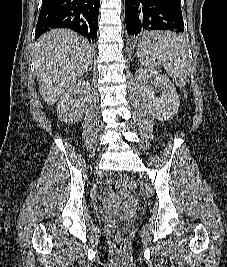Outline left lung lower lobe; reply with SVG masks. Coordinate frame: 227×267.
Returning a JSON list of instances; mask_svg holds the SVG:
<instances>
[{"instance_id":"0a47b994","label":"left lung lower lobe","mask_w":227,"mask_h":267,"mask_svg":"<svg viewBox=\"0 0 227 267\" xmlns=\"http://www.w3.org/2000/svg\"><path fill=\"white\" fill-rule=\"evenodd\" d=\"M125 20L132 38L146 30L184 33L180 0H125Z\"/></svg>"}]
</instances>
